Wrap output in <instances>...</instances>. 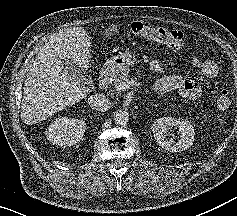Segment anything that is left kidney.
<instances>
[{
    "label": "left kidney",
    "instance_id": "5707ae66",
    "mask_svg": "<svg viewBox=\"0 0 237 216\" xmlns=\"http://www.w3.org/2000/svg\"><path fill=\"white\" fill-rule=\"evenodd\" d=\"M156 143L170 152H180L189 148L193 142L192 126L181 119L160 118L152 126Z\"/></svg>",
    "mask_w": 237,
    "mask_h": 216
}]
</instances>
